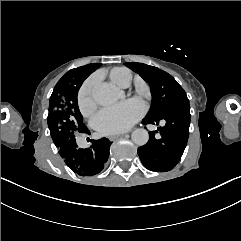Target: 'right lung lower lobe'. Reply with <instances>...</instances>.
<instances>
[{
    "instance_id": "98d812e1",
    "label": "right lung lower lobe",
    "mask_w": 241,
    "mask_h": 241,
    "mask_svg": "<svg viewBox=\"0 0 241 241\" xmlns=\"http://www.w3.org/2000/svg\"><path fill=\"white\" fill-rule=\"evenodd\" d=\"M110 145L107 138H102L93 140L89 148H79L76 143H65L58 149L66 165L75 173L80 176H93L104 169L109 158Z\"/></svg>"
}]
</instances>
